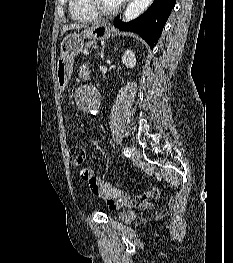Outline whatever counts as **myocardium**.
Wrapping results in <instances>:
<instances>
[{"mask_svg": "<svg viewBox=\"0 0 233 263\" xmlns=\"http://www.w3.org/2000/svg\"><path fill=\"white\" fill-rule=\"evenodd\" d=\"M123 1L119 2V4L117 6H115L114 8H104L99 4L98 0H88V5L89 7L97 14L100 16H109V15H114L116 14L118 11H120V9L123 6Z\"/></svg>", "mask_w": 233, "mask_h": 263, "instance_id": "myocardium-1", "label": "myocardium"}]
</instances>
